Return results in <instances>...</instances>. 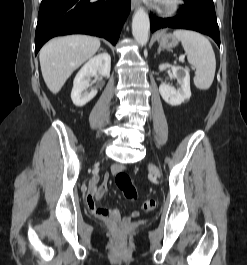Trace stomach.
<instances>
[{
  "instance_id": "stomach-1",
  "label": "stomach",
  "mask_w": 247,
  "mask_h": 265,
  "mask_svg": "<svg viewBox=\"0 0 247 265\" xmlns=\"http://www.w3.org/2000/svg\"><path fill=\"white\" fill-rule=\"evenodd\" d=\"M179 40L172 34L160 33L158 36V43L164 49H171L178 45Z\"/></svg>"
}]
</instances>
